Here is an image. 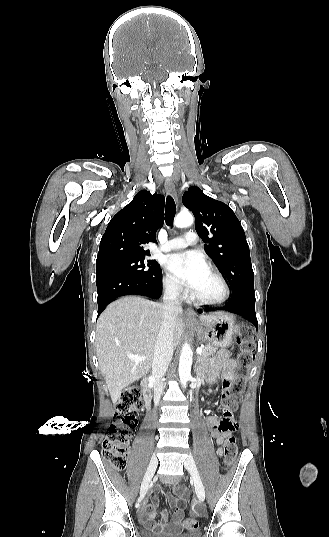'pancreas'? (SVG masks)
<instances>
[{"instance_id":"cf45deb5","label":"pancreas","mask_w":329,"mask_h":537,"mask_svg":"<svg viewBox=\"0 0 329 537\" xmlns=\"http://www.w3.org/2000/svg\"><path fill=\"white\" fill-rule=\"evenodd\" d=\"M217 348L214 347V346H211V345H207L205 347H203V352L201 355H199L198 357V361L199 362H205V361H208L209 360V357L214 355V353L216 352Z\"/></svg>"}]
</instances>
